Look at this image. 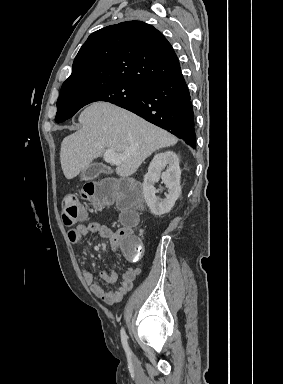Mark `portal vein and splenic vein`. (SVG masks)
<instances>
[{
	"mask_svg": "<svg viewBox=\"0 0 283 384\" xmlns=\"http://www.w3.org/2000/svg\"><path fill=\"white\" fill-rule=\"evenodd\" d=\"M127 156H129V154H117L114 150H106L104 160L108 162V164H116L117 166V164H121Z\"/></svg>",
	"mask_w": 283,
	"mask_h": 384,
	"instance_id": "portal-vein-and-splenic-vein-1",
	"label": "portal vein and splenic vein"
}]
</instances>
